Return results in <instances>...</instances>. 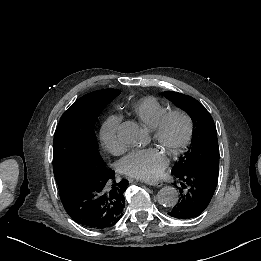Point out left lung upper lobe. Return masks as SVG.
Returning a JSON list of instances; mask_svg holds the SVG:
<instances>
[{
	"label": "left lung upper lobe",
	"mask_w": 261,
	"mask_h": 261,
	"mask_svg": "<svg viewBox=\"0 0 261 261\" xmlns=\"http://www.w3.org/2000/svg\"><path fill=\"white\" fill-rule=\"evenodd\" d=\"M163 95L177 107L186 111L194 124L192 141L184 157H181L172 172L198 169L218 175L219 146L214 121L206 108L193 97L166 91Z\"/></svg>",
	"instance_id": "left-lung-upper-lobe-1"
}]
</instances>
